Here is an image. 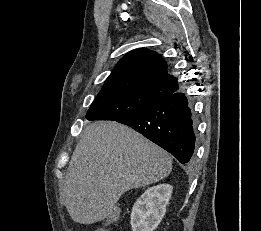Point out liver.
<instances>
[{
  "mask_svg": "<svg viewBox=\"0 0 261 231\" xmlns=\"http://www.w3.org/2000/svg\"><path fill=\"white\" fill-rule=\"evenodd\" d=\"M172 171V158L141 134L114 121L88 125L64 180V205L71 219L93 224L111 215L120 196L156 183Z\"/></svg>",
  "mask_w": 261,
  "mask_h": 231,
  "instance_id": "obj_1",
  "label": "liver"
}]
</instances>
